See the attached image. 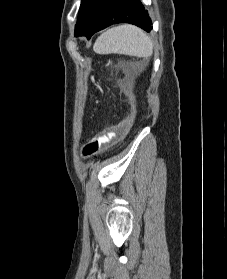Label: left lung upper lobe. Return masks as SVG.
Returning <instances> with one entry per match:
<instances>
[{
    "label": "left lung upper lobe",
    "instance_id": "5c2ea615",
    "mask_svg": "<svg viewBox=\"0 0 227 279\" xmlns=\"http://www.w3.org/2000/svg\"><path fill=\"white\" fill-rule=\"evenodd\" d=\"M92 2H93V0H82L81 1L79 16H78L77 23L75 25V32H77L81 28V26L83 25L86 14H87V11H88Z\"/></svg>",
    "mask_w": 227,
    "mask_h": 279
}]
</instances>
